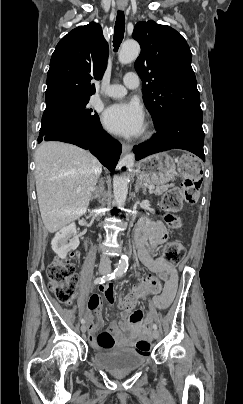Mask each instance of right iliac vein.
Returning a JSON list of instances; mask_svg holds the SVG:
<instances>
[{"label":"right iliac vein","instance_id":"63e3f726","mask_svg":"<svg viewBox=\"0 0 243 404\" xmlns=\"http://www.w3.org/2000/svg\"><path fill=\"white\" fill-rule=\"evenodd\" d=\"M86 330H87L86 325H85V324H82V325H81V331H82L83 333H85Z\"/></svg>","mask_w":243,"mask_h":404}]
</instances>
